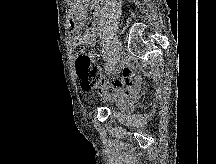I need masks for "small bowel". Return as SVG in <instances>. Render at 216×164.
<instances>
[{"label":"small bowel","instance_id":"1","mask_svg":"<svg viewBox=\"0 0 216 164\" xmlns=\"http://www.w3.org/2000/svg\"><path fill=\"white\" fill-rule=\"evenodd\" d=\"M97 27L94 23L90 24L83 38L84 45L92 47L95 44ZM139 87L138 78L132 73L128 65H123L122 74L112 80H102L98 88L99 94L103 99L113 101L119 106L124 107L129 104L136 96Z\"/></svg>","mask_w":216,"mask_h":164}]
</instances>
